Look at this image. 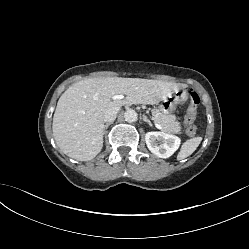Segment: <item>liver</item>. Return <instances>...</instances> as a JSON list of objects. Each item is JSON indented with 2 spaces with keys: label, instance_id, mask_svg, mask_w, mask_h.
Segmentation results:
<instances>
[{
  "label": "liver",
  "instance_id": "liver-1",
  "mask_svg": "<svg viewBox=\"0 0 249 249\" xmlns=\"http://www.w3.org/2000/svg\"><path fill=\"white\" fill-rule=\"evenodd\" d=\"M180 84L142 78H89L71 85L59 98L52 131L56 144L79 161L93 159L103 147L104 115L123 105L156 104L179 90ZM124 94L123 100H112Z\"/></svg>",
  "mask_w": 249,
  "mask_h": 249
}]
</instances>
